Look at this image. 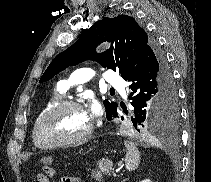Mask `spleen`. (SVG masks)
I'll list each match as a JSON object with an SVG mask.
<instances>
[{
    "instance_id": "spleen-1",
    "label": "spleen",
    "mask_w": 211,
    "mask_h": 182,
    "mask_svg": "<svg viewBox=\"0 0 211 182\" xmlns=\"http://www.w3.org/2000/svg\"><path fill=\"white\" fill-rule=\"evenodd\" d=\"M127 153L125 156L126 169L134 171L140 164V152L138 148L130 141H124Z\"/></svg>"
}]
</instances>
